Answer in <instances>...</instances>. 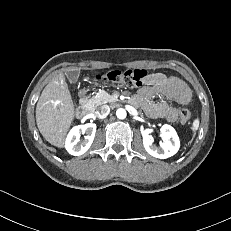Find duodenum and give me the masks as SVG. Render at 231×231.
<instances>
[{"instance_id": "duodenum-1", "label": "duodenum", "mask_w": 231, "mask_h": 231, "mask_svg": "<svg viewBox=\"0 0 231 231\" xmlns=\"http://www.w3.org/2000/svg\"><path fill=\"white\" fill-rule=\"evenodd\" d=\"M91 110H92L91 104H89L86 101H83V103L79 107H77V109H76V115L78 117H83L86 114H88L89 112H91Z\"/></svg>"}]
</instances>
